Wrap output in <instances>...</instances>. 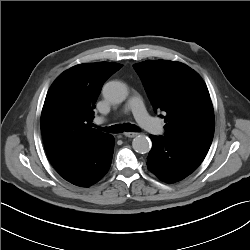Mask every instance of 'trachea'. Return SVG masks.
<instances>
[{"label":"trachea","instance_id":"1","mask_svg":"<svg viewBox=\"0 0 250 250\" xmlns=\"http://www.w3.org/2000/svg\"><path fill=\"white\" fill-rule=\"evenodd\" d=\"M105 132L108 133H121L123 131L125 132H139V128L134 125V124H130V123H126V124H116L113 126H110L108 128H103L102 129Z\"/></svg>","mask_w":250,"mask_h":250}]
</instances>
